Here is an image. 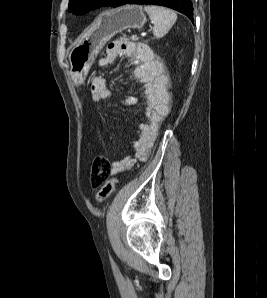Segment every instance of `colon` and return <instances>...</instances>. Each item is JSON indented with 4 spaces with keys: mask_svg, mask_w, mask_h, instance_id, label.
<instances>
[{
    "mask_svg": "<svg viewBox=\"0 0 267 298\" xmlns=\"http://www.w3.org/2000/svg\"><path fill=\"white\" fill-rule=\"evenodd\" d=\"M110 162L104 153H98L92 163L90 182L92 187L98 188L96 199L103 202L115 190L119 178L117 176L109 178Z\"/></svg>",
    "mask_w": 267,
    "mask_h": 298,
    "instance_id": "obj_1",
    "label": "colon"
}]
</instances>
